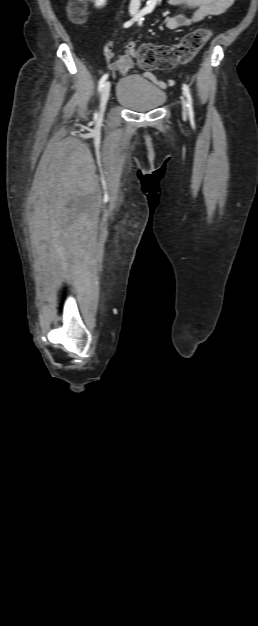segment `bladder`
Segmentation results:
<instances>
[{
    "label": "bladder",
    "mask_w": 258,
    "mask_h": 626,
    "mask_svg": "<svg viewBox=\"0 0 258 626\" xmlns=\"http://www.w3.org/2000/svg\"><path fill=\"white\" fill-rule=\"evenodd\" d=\"M115 97L119 104L135 112H149L160 108L166 101V92L142 76H127L116 86Z\"/></svg>",
    "instance_id": "obj_1"
}]
</instances>
